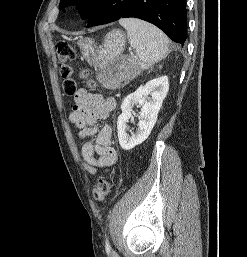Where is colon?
Segmentation results:
<instances>
[{
    "instance_id": "5ec220e1",
    "label": "colon",
    "mask_w": 247,
    "mask_h": 257,
    "mask_svg": "<svg viewBox=\"0 0 247 257\" xmlns=\"http://www.w3.org/2000/svg\"><path fill=\"white\" fill-rule=\"evenodd\" d=\"M59 61V72L62 77V87L67 95H73L78 88V81H82L85 88L92 89L95 84L89 79L88 71L81 68L78 77L75 76V66L73 61L77 56L74 46L68 43H59L56 46ZM111 190L109 180L100 178L93 188V197L97 201H104Z\"/></svg>"
}]
</instances>
